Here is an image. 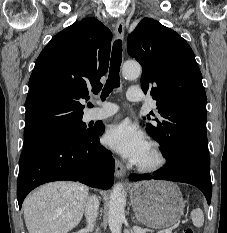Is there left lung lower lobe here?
<instances>
[{
    "mask_svg": "<svg viewBox=\"0 0 227 233\" xmlns=\"http://www.w3.org/2000/svg\"><path fill=\"white\" fill-rule=\"evenodd\" d=\"M132 181L149 180H168L184 182L194 185L205 195L208 204L211 202L212 184L210 177L209 163L192 154H182L171 163L160 169L153 177L149 175L131 174Z\"/></svg>",
    "mask_w": 227,
    "mask_h": 233,
    "instance_id": "obj_1",
    "label": "left lung lower lobe"
}]
</instances>
